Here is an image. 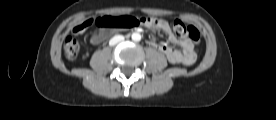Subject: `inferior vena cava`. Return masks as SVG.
<instances>
[{"instance_id":"1","label":"inferior vena cava","mask_w":276,"mask_h":120,"mask_svg":"<svg viewBox=\"0 0 276 120\" xmlns=\"http://www.w3.org/2000/svg\"><path fill=\"white\" fill-rule=\"evenodd\" d=\"M124 40V37L121 36V35H117V36H114L110 41H109V44L111 46H114L115 44H117L118 42H121Z\"/></svg>"}]
</instances>
